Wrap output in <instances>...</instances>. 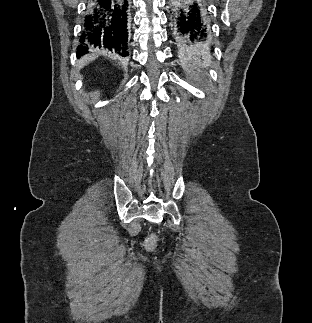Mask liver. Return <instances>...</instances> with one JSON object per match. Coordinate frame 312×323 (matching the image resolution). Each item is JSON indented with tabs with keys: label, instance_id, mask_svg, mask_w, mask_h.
<instances>
[{
	"label": "liver",
	"instance_id": "6515ba94",
	"mask_svg": "<svg viewBox=\"0 0 312 323\" xmlns=\"http://www.w3.org/2000/svg\"><path fill=\"white\" fill-rule=\"evenodd\" d=\"M92 54H85V56H81L80 60H77V68L81 70V68H84L86 64H89V62H93V60H96L98 58L97 54H95L94 50H90Z\"/></svg>",
	"mask_w": 312,
	"mask_h": 323
}]
</instances>
